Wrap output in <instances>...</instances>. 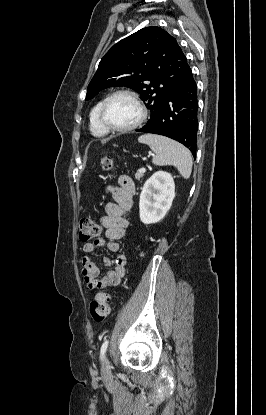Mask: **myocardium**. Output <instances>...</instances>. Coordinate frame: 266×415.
I'll list each match as a JSON object with an SVG mask.
<instances>
[{
	"instance_id": "myocardium-1",
	"label": "myocardium",
	"mask_w": 266,
	"mask_h": 415,
	"mask_svg": "<svg viewBox=\"0 0 266 415\" xmlns=\"http://www.w3.org/2000/svg\"><path fill=\"white\" fill-rule=\"evenodd\" d=\"M121 95H125L130 97L138 106L139 111H140V115L139 118L131 125L127 126V127H114L112 125L109 124V122L106 119V110L108 107V104L110 103V101L117 97V96H121ZM147 118V109L144 105V103L142 102L141 98L139 97V95L129 89H120V90H116L114 92H112L111 94H109L103 101L102 105H101V109H100V113H99V120L100 123L102 124V126L108 131V132H115V133H125V132H130L132 130L137 129L139 126L142 125V123L146 120Z\"/></svg>"
}]
</instances>
